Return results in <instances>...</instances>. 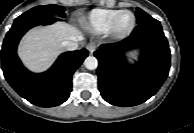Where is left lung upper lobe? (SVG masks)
I'll return each instance as SVG.
<instances>
[{
	"label": "left lung upper lobe",
	"mask_w": 194,
	"mask_h": 133,
	"mask_svg": "<svg viewBox=\"0 0 194 133\" xmlns=\"http://www.w3.org/2000/svg\"><path fill=\"white\" fill-rule=\"evenodd\" d=\"M136 17H137V21L138 23H141L149 18H151L150 15H148L146 12H144L142 9L137 8L136 10Z\"/></svg>",
	"instance_id": "obj_1"
}]
</instances>
